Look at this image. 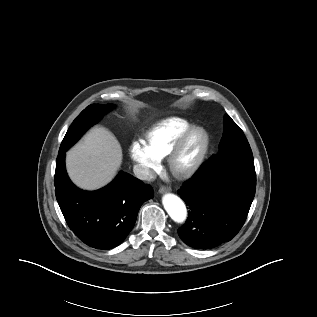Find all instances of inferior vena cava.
I'll use <instances>...</instances> for the list:
<instances>
[{"mask_svg":"<svg viewBox=\"0 0 317 317\" xmlns=\"http://www.w3.org/2000/svg\"><path fill=\"white\" fill-rule=\"evenodd\" d=\"M133 171H134L135 176L140 180L153 181L154 179H156L155 172L152 169H150V168H148L140 163L134 165Z\"/></svg>","mask_w":317,"mask_h":317,"instance_id":"602c4592","label":"inferior vena cava"}]
</instances>
